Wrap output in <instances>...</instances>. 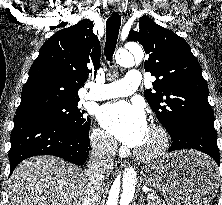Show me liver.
Returning <instances> with one entry per match:
<instances>
[{
	"instance_id": "1",
	"label": "liver",
	"mask_w": 222,
	"mask_h": 205,
	"mask_svg": "<svg viewBox=\"0 0 222 205\" xmlns=\"http://www.w3.org/2000/svg\"><path fill=\"white\" fill-rule=\"evenodd\" d=\"M88 183L86 170L74 164L54 156L31 157L8 181V205H82Z\"/></svg>"
}]
</instances>
